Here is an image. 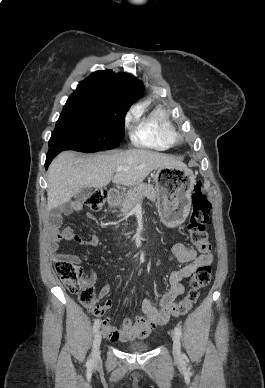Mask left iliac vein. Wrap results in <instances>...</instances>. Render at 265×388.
Here are the masks:
<instances>
[{
  "label": "left iliac vein",
  "mask_w": 265,
  "mask_h": 388,
  "mask_svg": "<svg viewBox=\"0 0 265 388\" xmlns=\"http://www.w3.org/2000/svg\"><path fill=\"white\" fill-rule=\"evenodd\" d=\"M172 340H173V355L176 360H180L182 357L181 354V342L179 336L174 333L172 335Z\"/></svg>",
  "instance_id": "4c4485c4"
}]
</instances>
